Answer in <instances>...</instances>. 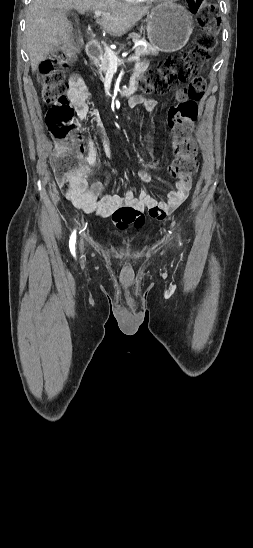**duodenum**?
<instances>
[{"label": "duodenum", "instance_id": "duodenum-1", "mask_svg": "<svg viewBox=\"0 0 253 548\" xmlns=\"http://www.w3.org/2000/svg\"><path fill=\"white\" fill-rule=\"evenodd\" d=\"M100 53H101L100 48L96 43L91 42L87 45V54L91 59L98 58L100 56ZM135 89H136L135 82H132L128 87L121 90V94L126 96L131 95L134 93Z\"/></svg>", "mask_w": 253, "mask_h": 548}]
</instances>
